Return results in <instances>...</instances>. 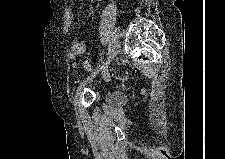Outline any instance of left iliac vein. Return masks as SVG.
<instances>
[{
    "label": "left iliac vein",
    "mask_w": 225,
    "mask_h": 159,
    "mask_svg": "<svg viewBox=\"0 0 225 159\" xmlns=\"http://www.w3.org/2000/svg\"><path fill=\"white\" fill-rule=\"evenodd\" d=\"M119 52H120V42L117 41L113 44L110 51L108 52L107 58L102 62L101 66L97 69V71H95L94 73L89 75L86 79H84L81 82L80 86L78 87V89L75 93L74 99H73V103L75 106H77V103L81 96V91H82L83 87L88 85L93 80V78L97 75V73H99L101 70L105 69L109 65V63L114 59V57L117 56V54Z\"/></svg>",
    "instance_id": "1"
}]
</instances>
